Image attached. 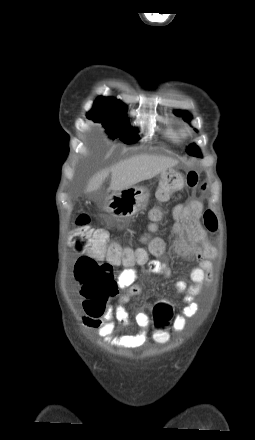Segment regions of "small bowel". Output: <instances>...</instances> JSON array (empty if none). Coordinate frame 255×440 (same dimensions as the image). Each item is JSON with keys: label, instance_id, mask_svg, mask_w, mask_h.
Segmentation results:
<instances>
[{"label": "small bowel", "instance_id": "1", "mask_svg": "<svg viewBox=\"0 0 255 440\" xmlns=\"http://www.w3.org/2000/svg\"><path fill=\"white\" fill-rule=\"evenodd\" d=\"M204 205L200 201H190L186 204H177L172 208L173 223L169 226V233L173 236L171 247L174 252L184 257H193L198 266L193 268L190 274L192 281L188 285L184 280H178L175 284L179 293H185L184 306L173 321V330L182 331L186 326V319L194 316L199 305L195 301L203 285H208L212 277L211 259L215 257V249L205 241V231L201 226ZM161 248L164 249L161 241ZM143 257L136 263L128 264L118 275L117 286L125 290L113 308L109 306L102 317H83V324L96 330L98 336L107 344L121 349H135L144 346L149 341L150 319L146 312H139L134 316L135 323L141 328L136 334L115 335V320L126 326L130 322V315L125 304L131 296L140 293V287L136 284L140 276V269L152 275L167 276L170 273L168 266L159 259H150L145 251Z\"/></svg>", "mask_w": 255, "mask_h": 440}]
</instances>
